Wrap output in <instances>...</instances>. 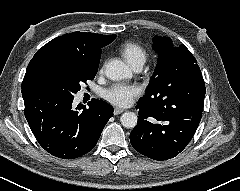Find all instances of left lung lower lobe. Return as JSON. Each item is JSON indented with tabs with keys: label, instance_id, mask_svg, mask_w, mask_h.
Instances as JSON below:
<instances>
[{
	"label": "left lung lower lobe",
	"instance_id": "0a47b994",
	"mask_svg": "<svg viewBox=\"0 0 240 191\" xmlns=\"http://www.w3.org/2000/svg\"><path fill=\"white\" fill-rule=\"evenodd\" d=\"M205 97L203 77H194L177 95L152 102L139 100L138 124L130 142L139 153L154 160L175 157L194 136L202 117Z\"/></svg>",
	"mask_w": 240,
	"mask_h": 191
}]
</instances>
